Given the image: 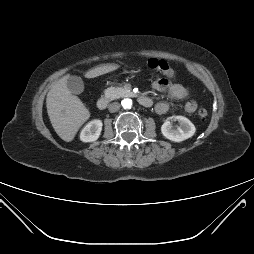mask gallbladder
Segmentation results:
<instances>
[{
	"instance_id": "bac80fb5",
	"label": "gallbladder",
	"mask_w": 254,
	"mask_h": 254,
	"mask_svg": "<svg viewBox=\"0 0 254 254\" xmlns=\"http://www.w3.org/2000/svg\"><path fill=\"white\" fill-rule=\"evenodd\" d=\"M67 88L73 94H80L84 90V83L78 76H69L67 79Z\"/></svg>"
}]
</instances>
